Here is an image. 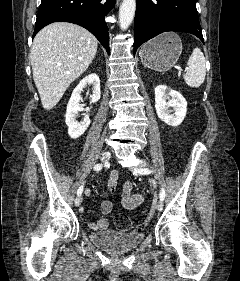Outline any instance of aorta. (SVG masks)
<instances>
[{
  "label": "aorta",
  "mask_w": 240,
  "mask_h": 281,
  "mask_svg": "<svg viewBox=\"0 0 240 281\" xmlns=\"http://www.w3.org/2000/svg\"><path fill=\"white\" fill-rule=\"evenodd\" d=\"M136 10V0H123L119 8V24L126 30L132 23Z\"/></svg>",
  "instance_id": "obj_1"
}]
</instances>
